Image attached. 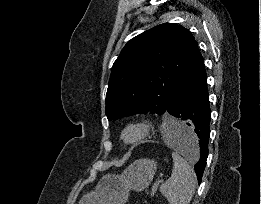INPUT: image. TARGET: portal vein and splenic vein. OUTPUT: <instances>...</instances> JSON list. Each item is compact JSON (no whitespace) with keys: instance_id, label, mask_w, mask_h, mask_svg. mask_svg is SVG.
I'll list each match as a JSON object with an SVG mask.
<instances>
[{"instance_id":"obj_1","label":"portal vein and splenic vein","mask_w":261,"mask_h":204,"mask_svg":"<svg viewBox=\"0 0 261 204\" xmlns=\"http://www.w3.org/2000/svg\"><path fill=\"white\" fill-rule=\"evenodd\" d=\"M159 182H162V181L160 180V181L154 183V185H153V187L151 189V197H153L155 195V193L157 191V188H158V185H159Z\"/></svg>"}]
</instances>
